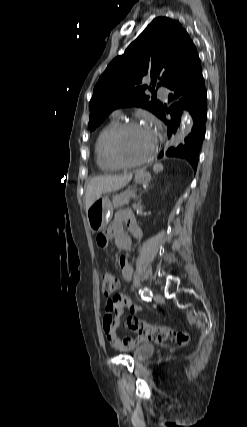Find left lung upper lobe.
<instances>
[{"label": "left lung upper lobe", "instance_id": "obj_1", "mask_svg": "<svg viewBox=\"0 0 247 427\" xmlns=\"http://www.w3.org/2000/svg\"><path fill=\"white\" fill-rule=\"evenodd\" d=\"M199 59L195 45L178 21L154 19L99 78L89 103V129L98 127L114 109L140 106L159 117L163 105L155 93L156 81L169 87L186 75ZM151 78L149 87L143 81Z\"/></svg>", "mask_w": 247, "mask_h": 427}]
</instances>
